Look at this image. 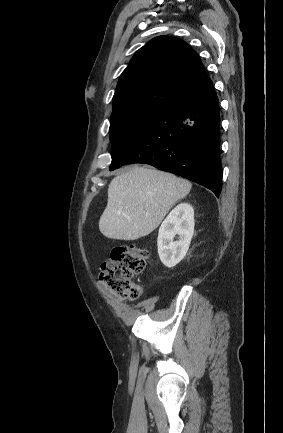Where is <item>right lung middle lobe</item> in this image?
I'll return each instance as SVG.
<instances>
[{
  "label": "right lung middle lobe",
  "instance_id": "dd1d6c3e",
  "mask_svg": "<svg viewBox=\"0 0 283 433\" xmlns=\"http://www.w3.org/2000/svg\"><path fill=\"white\" fill-rule=\"evenodd\" d=\"M163 110L144 106L114 109L110 119L111 156L120 153L143 127Z\"/></svg>",
  "mask_w": 283,
  "mask_h": 433
}]
</instances>
